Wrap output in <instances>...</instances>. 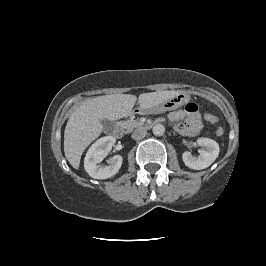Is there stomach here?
Masks as SVG:
<instances>
[{
	"label": "stomach",
	"mask_w": 266,
	"mask_h": 266,
	"mask_svg": "<svg viewBox=\"0 0 266 266\" xmlns=\"http://www.w3.org/2000/svg\"><path fill=\"white\" fill-rule=\"evenodd\" d=\"M188 99V95L185 93H179L176 96L168 99L167 101L154 106L147 110H142L143 112H154V113H164L168 110H171L173 107L177 105H181L185 103Z\"/></svg>",
	"instance_id": "stomach-1"
}]
</instances>
